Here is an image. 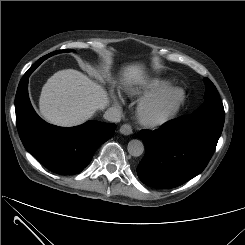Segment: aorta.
Segmentation results:
<instances>
[{
  "label": "aorta",
  "mask_w": 245,
  "mask_h": 245,
  "mask_svg": "<svg viewBox=\"0 0 245 245\" xmlns=\"http://www.w3.org/2000/svg\"><path fill=\"white\" fill-rule=\"evenodd\" d=\"M127 150L131 156L139 157L144 152V144L140 140L133 139L129 141Z\"/></svg>",
  "instance_id": "1"
}]
</instances>
